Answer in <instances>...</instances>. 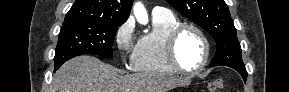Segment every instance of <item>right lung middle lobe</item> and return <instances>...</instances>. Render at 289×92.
Masks as SVG:
<instances>
[{
	"instance_id": "right-lung-middle-lobe-1",
	"label": "right lung middle lobe",
	"mask_w": 289,
	"mask_h": 92,
	"mask_svg": "<svg viewBox=\"0 0 289 92\" xmlns=\"http://www.w3.org/2000/svg\"><path fill=\"white\" fill-rule=\"evenodd\" d=\"M120 22L64 21L55 51V70L82 54L112 58V44Z\"/></svg>"
}]
</instances>
